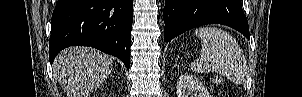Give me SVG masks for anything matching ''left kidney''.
Returning <instances> with one entry per match:
<instances>
[{"label":"left kidney","mask_w":302,"mask_h":97,"mask_svg":"<svg viewBox=\"0 0 302 97\" xmlns=\"http://www.w3.org/2000/svg\"><path fill=\"white\" fill-rule=\"evenodd\" d=\"M177 97H212L206 87L188 74L180 76L177 83Z\"/></svg>","instance_id":"1"}]
</instances>
